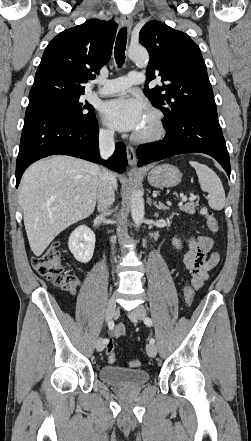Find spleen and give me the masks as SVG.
Returning <instances> with one entry per match:
<instances>
[{"label": "spleen", "mask_w": 251, "mask_h": 441, "mask_svg": "<svg viewBox=\"0 0 251 441\" xmlns=\"http://www.w3.org/2000/svg\"><path fill=\"white\" fill-rule=\"evenodd\" d=\"M189 163L197 173L201 189L208 193L209 206L214 210H222L225 206L226 198L218 175L211 168L197 161H190Z\"/></svg>", "instance_id": "obj_1"}]
</instances>
